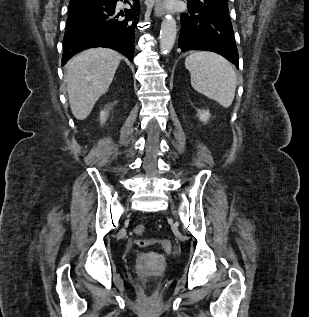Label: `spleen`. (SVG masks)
Wrapping results in <instances>:
<instances>
[{"instance_id":"obj_1","label":"spleen","mask_w":309,"mask_h":317,"mask_svg":"<svg viewBox=\"0 0 309 317\" xmlns=\"http://www.w3.org/2000/svg\"><path fill=\"white\" fill-rule=\"evenodd\" d=\"M185 66L191 73V85L196 91L225 108L231 106L237 78L226 59L211 52H194L186 58Z\"/></svg>"}]
</instances>
